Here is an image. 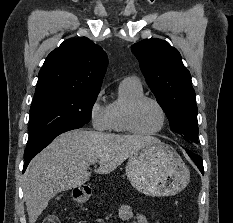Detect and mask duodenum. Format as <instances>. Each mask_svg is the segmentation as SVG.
<instances>
[{
  "label": "duodenum",
  "mask_w": 233,
  "mask_h": 223,
  "mask_svg": "<svg viewBox=\"0 0 233 223\" xmlns=\"http://www.w3.org/2000/svg\"><path fill=\"white\" fill-rule=\"evenodd\" d=\"M88 192L85 190H79L74 194L75 199L78 202H84L88 199Z\"/></svg>",
  "instance_id": "obj_1"
}]
</instances>
